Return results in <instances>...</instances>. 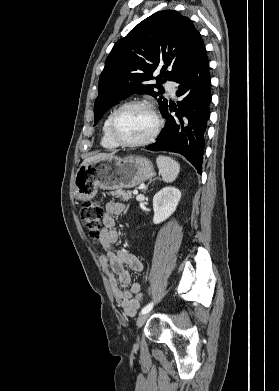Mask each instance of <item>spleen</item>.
Masks as SVG:
<instances>
[{
	"instance_id": "3e777b00",
	"label": "spleen",
	"mask_w": 279,
	"mask_h": 391,
	"mask_svg": "<svg viewBox=\"0 0 279 391\" xmlns=\"http://www.w3.org/2000/svg\"><path fill=\"white\" fill-rule=\"evenodd\" d=\"M156 163L164 182L171 183L177 178L180 165L174 159L160 155L157 157Z\"/></svg>"
}]
</instances>
